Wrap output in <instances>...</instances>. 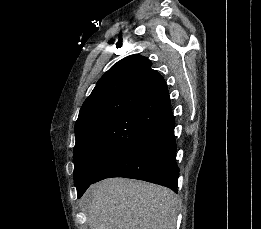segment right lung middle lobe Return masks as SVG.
<instances>
[{"label":"right lung middle lobe","instance_id":"obj_1","mask_svg":"<svg viewBox=\"0 0 261 229\" xmlns=\"http://www.w3.org/2000/svg\"><path fill=\"white\" fill-rule=\"evenodd\" d=\"M150 130L136 133L137 142L147 136ZM131 147H116L104 144H80L74 147V181L80 198L93 180L107 166Z\"/></svg>","mask_w":261,"mask_h":229}]
</instances>
